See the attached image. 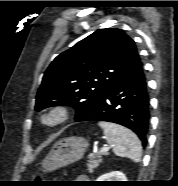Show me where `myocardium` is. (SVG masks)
I'll use <instances>...</instances> for the list:
<instances>
[{
  "instance_id": "obj_1",
  "label": "myocardium",
  "mask_w": 178,
  "mask_h": 186,
  "mask_svg": "<svg viewBox=\"0 0 178 186\" xmlns=\"http://www.w3.org/2000/svg\"><path fill=\"white\" fill-rule=\"evenodd\" d=\"M70 117V110L65 105H54L39 114V121L45 128L54 129L64 124Z\"/></svg>"
}]
</instances>
